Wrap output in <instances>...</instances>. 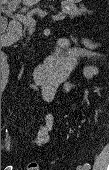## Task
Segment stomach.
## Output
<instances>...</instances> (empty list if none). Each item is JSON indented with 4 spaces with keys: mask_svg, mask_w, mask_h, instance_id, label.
Here are the masks:
<instances>
[{
    "mask_svg": "<svg viewBox=\"0 0 109 170\" xmlns=\"http://www.w3.org/2000/svg\"><path fill=\"white\" fill-rule=\"evenodd\" d=\"M82 0H66V3L68 5H74V4H77V3H80Z\"/></svg>",
    "mask_w": 109,
    "mask_h": 170,
    "instance_id": "0dacf381",
    "label": "stomach"
}]
</instances>
